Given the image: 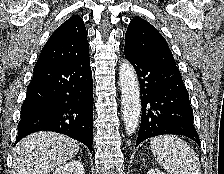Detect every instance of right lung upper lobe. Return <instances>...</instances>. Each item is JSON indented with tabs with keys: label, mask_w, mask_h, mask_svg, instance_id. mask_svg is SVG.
Here are the masks:
<instances>
[{
	"label": "right lung upper lobe",
	"mask_w": 224,
	"mask_h": 174,
	"mask_svg": "<svg viewBox=\"0 0 224 174\" xmlns=\"http://www.w3.org/2000/svg\"><path fill=\"white\" fill-rule=\"evenodd\" d=\"M89 56L83 20L73 15L58 27L43 47L34 71Z\"/></svg>",
	"instance_id": "right-lung-upper-lobe-1"
}]
</instances>
